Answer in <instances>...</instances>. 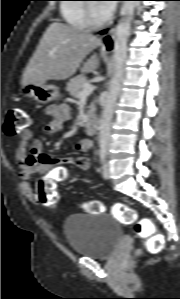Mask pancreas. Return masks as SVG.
Wrapping results in <instances>:
<instances>
[{"mask_svg":"<svg viewBox=\"0 0 180 299\" xmlns=\"http://www.w3.org/2000/svg\"><path fill=\"white\" fill-rule=\"evenodd\" d=\"M85 84H89L88 79L83 75H78L69 81V83L67 84L66 90H67V92H69V94L72 97L78 98V95L82 91L83 86ZM94 112H95V106L92 103L89 106L88 117L92 118L94 115Z\"/></svg>","mask_w":180,"mask_h":299,"instance_id":"pancreas-1","label":"pancreas"}]
</instances>
